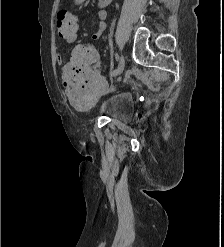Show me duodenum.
Listing matches in <instances>:
<instances>
[{
    "instance_id": "obj_1",
    "label": "duodenum",
    "mask_w": 224,
    "mask_h": 247,
    "mask_svg": "<svg viewBox=\"0 0 224 247\" xmlns=\"http://www.w3.org/2000/svg\"><path fill=\"white\" fill-rule=\"evenodd\" d=\"M111 2H112V0H100V6H101V8H105V7L108 6Z\"/></svg>"
}]
</instances>
